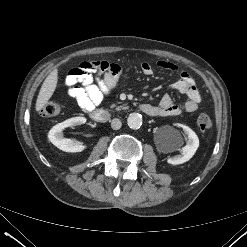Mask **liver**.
I'll return each instance as SVG.
<instances>
[{"label": "liver", "mask_w": 247, "mask_h": 247, "mask_svg": "<svg viewBox=\"0 0 247 247\" xmlns=\"http://www.w3.org/2000/svg\"><path fill=\"white\" fill-rule=\"evenodd\" d=\"M58 81V71L54 69L44 80L36 101V111H40L52 97Z\"/></svg>", "instance_id": "obj_1"}]
</instances>
